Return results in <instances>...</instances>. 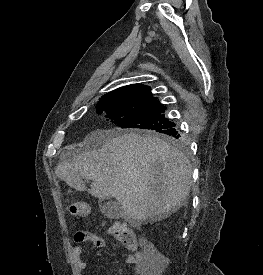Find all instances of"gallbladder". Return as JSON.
<instances>
[{
    "label": "gallbladder",
    "mask_w": 263,
    "mask_h": 275,
    "mask_svg": "<svg viewBox=\"0 0 263 275\" xmlns=\"http://www.w3.org/2000/svg\"><path fill=\"white\" fill-rule=\"evenodd\" d=\"M102 213L111 219H118L123 216V209L120 203L108 201L100 205Z\"/></svg>",
    "instance_id": "obj_1"
}]
</instances>
